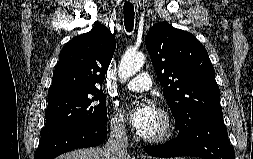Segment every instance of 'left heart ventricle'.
Wrapping results in <instances>:
<instances>
[{
  "mask_svg": "<svg viewBox=\"0 0 253 159\" xmlns=\"http://www.w3.org/2000/svg\"><path fill=\"white\" fill-rule=\"evenodd\" d=\"M163 129V122L158 113H156L155 119L153 120L152 124L150 125L149 129L144 135L153 136L161 132Z\"/></svg>",
  "mask_w": 253,
  "mask_h": 159,
  "instance_id": "left-heart-ventricle-1",
  "label": "left heart ventricle"
}]
</instances>
